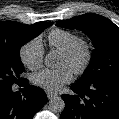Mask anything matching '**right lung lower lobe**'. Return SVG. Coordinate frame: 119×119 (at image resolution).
I'll use <instances>...</instances> for the list:
<instances>
[{"label": "right lung lower lobe", "instance_id": "98d812e1", "mask_svg": "<svg viewBox=\"0 0 119 119\" xmlns=\"http://www.w3.org/2000/svg\"><path fill=\"white\" fill-rule=\"evenodd\" d=\"M28 87L23 96L12 91V86L0 88V119H32L46 104L45 92L36 86H29L24 79L19 84Z\"/></svg>", "mask_w": 119, "mask_h": 119}]
</instances>
